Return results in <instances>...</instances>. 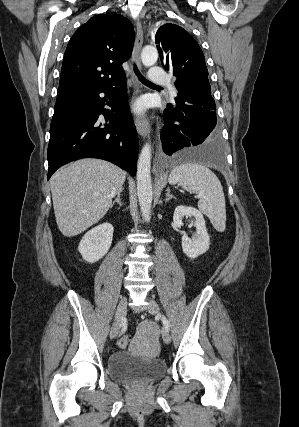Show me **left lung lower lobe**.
<instances>
[{
  "instance_id": "1",
  "label": "left lung lower lobe",
  "mask_w": 299,
  "mask_h": 427,
  "mask_svg": "<svg viewBox=\"0 0 299 427\" xmlns=\"http://www.w3.org/2000/svg\"><path fill=\"white\" fill-rule=\"evenodd\" d=\"M215 107L177 94L164 110L163 151L174 160L220 166L224 162Z\"/></svg>"
}]
</instances>
